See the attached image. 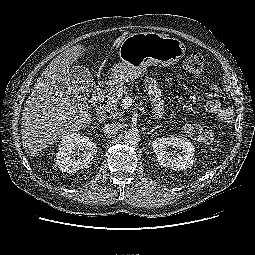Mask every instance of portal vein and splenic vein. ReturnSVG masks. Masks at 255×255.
I'll list each match as a JSON object with an SVG mask.
<instances>
[{
  "instance_id": "portal-vein-and-splenic-vein-1",
  "label": "portal vein and splenic vein",
  "mask_w": 255,
  "mask_h": 255,
  "mask_svg": "<svg viewBox=\"0 0 255 255\" xmlns=\"http://www.w3.org/2000/svg\"><path fill=\"white\" fill-rule=\"evenodd\" d=\"M132 102H133V100H132L131 97H125V98L122 100L120 106H121L123 109H127L128 107H130V106L132 105Z\"/></svg>"
}]
</instances>
